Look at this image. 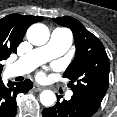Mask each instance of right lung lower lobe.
I'll return each instance as SVG.
<instances>
[{
    "label": "right lung lower lobe",
    "mask_w": 117,
    "mask_h": 117,
    "mask_svg": "<svg viewBox=\"0 0 117 117\" xmlns=\"http://www.w3.org/2000/svg\"><path fill=\"white\" fill-rule=\"evenodd\" d=\"M33 83L26 79L24 82H8L5 85L0 80V117H15L17 112L16 97L19 93L28 92Z\"/></svg>",
    "instance_id": "98d812e1"
}]
</instances>
